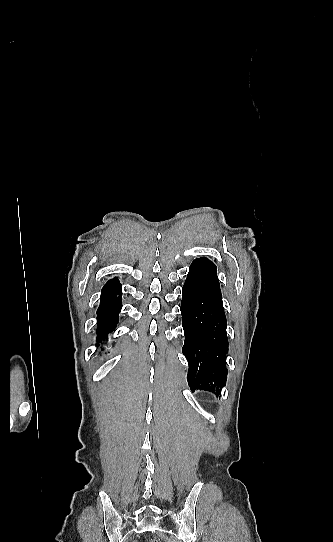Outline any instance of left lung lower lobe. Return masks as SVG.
<instances>
[{
    "mask_svg": "<svg viewBox=\"0 0 333 542\" xmlns=\"http://www.w3.org/2000/svg\"><path fill=\"white\" fill-rule=\"evenodd\" d=\"M182 352L188 360V384L218 395L226 384L228 340L216 266L202 257L192 262L182 288Z\"/></svg>",
    "mask_w": 333,
    "mask_h": 542,
    "instance_id": "obj_1",
    "label": "left lung lower lobe"
}]
</instances>
